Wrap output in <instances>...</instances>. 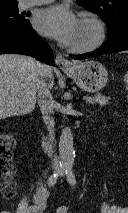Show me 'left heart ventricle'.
Returning a JSON list of instances; mask_svg holds the SVG:
<instances>
[{
	"label": "left heart ventricle",
	"mask_w": 128,
	"mask_h": 213,
	"mask_svg": "<svg viewBox=\"0 0 128 213\" xmlns=\"http://www.w3.org/2000/svg\"><path fill=\"white\" fill-rule=\"evenodd\" d=\"M96 36L95 27L86 21H79L78 28L74 40L71 45L80 46L91 42Z\"/></svg>",
	"instance_id": "1"
}]
</instances>
